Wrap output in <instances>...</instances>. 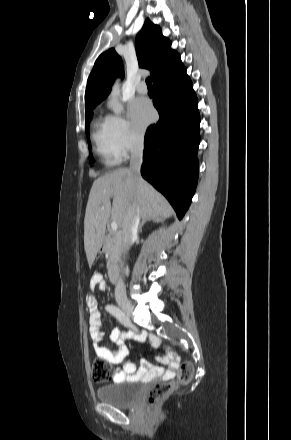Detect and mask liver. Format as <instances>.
<instances>
[{"mask_svg":"<svg viewBox=\"0 0 291 440\" xmlns=\"http://www.w3.org/2000/svg\"><path fill=\"white\" fill-rule=\"evenodd\" d=\"M132 203L138 206L142 219L172 215L166 199L144 179L136 180L130 169H117L93 182L84 219V247L89 266L102 246L109 218L122 227L126 211Z\"/></svg>","mask_w":291,"mask_h":440,"instance_id":"liver-1","label":"liver"}]
</instances>
